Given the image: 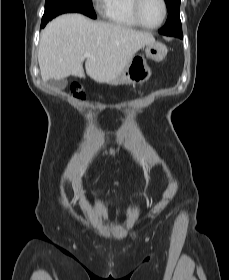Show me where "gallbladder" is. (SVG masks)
Returning <instances> with one entry per match:
<instances>
[{
  "instance_id": "obj_1",
  "label": "gallbladder",
  "mask_w": 229,
  "mask_h": 280,
  "mask_svg": "<svg viewBox=\"0 0 229 280\" xmlns=\"http://www.w3.org/2000/svg\"><path fill=\"white\" fill-rule=\"evenodd\" d=\"M49 86L57 88V89H64L67 86V80L61 79V80H54L50 79L48 81Z\"/></svg>"
}]
</instances>
